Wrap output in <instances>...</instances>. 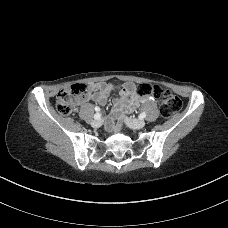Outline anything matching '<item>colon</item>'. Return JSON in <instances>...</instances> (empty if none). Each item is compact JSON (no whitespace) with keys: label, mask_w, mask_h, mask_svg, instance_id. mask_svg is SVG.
I'll list each match as a JSON object with an SVG mask.
<instances>
[{"label":"colon","mask_w":228,"mask_h":228,"mask_svg":"<svg viewBox=\"0 0 228 228\" xmlns=\"http://www.w3.org/2000/svg\"><path fill=\"white\" fill-rule=\"evenodd\" d=\"M134 90L141 97L157 95L160 99V113L165 118L173 116L179 112L182 107V102L177 96L168 90H160L157 86L142 83L135 86ZM86 91L87 86L83 83H75L64 87L56 97L58 112L62 115H69Z\"/></svg>","instance_id":"1"}]
</instances>
